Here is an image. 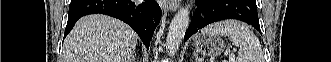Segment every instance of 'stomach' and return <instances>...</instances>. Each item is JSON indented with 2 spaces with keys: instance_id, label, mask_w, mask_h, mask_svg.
Returning <instances> with one entry per match:
<instances>
[{
  "instance_id": "1",
  "label": "stomach",
  "mask_w": 331,
  "mask_h": 62,
  "mask_svg": "<svg viewBox=\"0 0 331 62\" xmlns=\"http://www.w3.org/2000/svg\"><path fill=\"white\" fill-rule=\"evenodd\" d=\"M193 45L198 53L206 56H218L225 49V43L218 35L197 34Z\"/></svg>"
}]
</instances>
